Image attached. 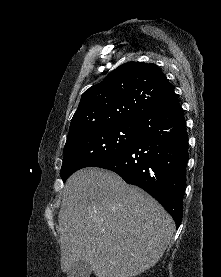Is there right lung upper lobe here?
Masks as SVG:
<instances>
[{"mask_svg": "<svg viewBox=\"0 0 221 277\" xmlns=\"http://www.w3.org/2000/svg\"><path fill=\"white\" fill-rule=\"evenodd\" d=\"M174 94L157 65L122 64L82 94L67 139L93 127L135 122Z\"/></svg>", "mask_w": 221, "mask_h": 277, "instance_id": "obj_1", "label": "right lung upper lobe"}]
</instances>
